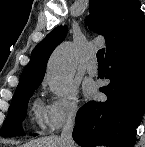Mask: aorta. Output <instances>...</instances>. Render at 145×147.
I'll list each match as a JSON object with an SVG mask.
<instances>
[{
  "label": "aorta",
  "instance_id": "1",
  "mask_svg": "<svg viewBox=\"0 0 145 147\" xmlns=\"http://www.w3.org/2000/svg\"><path fill=\"white\" fill-rule=\"evenodd\" d=\"M77 50L73 43L58 46L48 61L47 81L57 91H63L71 82L76 68Z\"/></svg>",
  "mask_w": 145,
  "mask_h": 147
}]
</instances>
